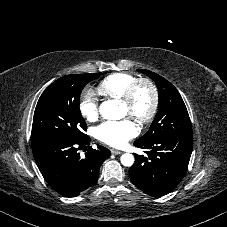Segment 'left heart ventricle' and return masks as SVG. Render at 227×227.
<instances>
[{"label":"left heart ventricle","mask_w":227,"mask_h":227,"mask_svg":"<svg viewBox=\"0 0 227 227\" xmlns=\"http://www.w3.org/2000/svg\"><path fill=\"white\" fill-rule=\"evenodd\" d=\"M152 101L151 92L146 86H142L137 94L133 111L136 115H144L150 108ZM120 108L123 116H131V109L124 105L120 104Z\"/></svg>","instance_id":"left-heart-ventricle-1"}]
</instances>
